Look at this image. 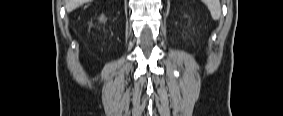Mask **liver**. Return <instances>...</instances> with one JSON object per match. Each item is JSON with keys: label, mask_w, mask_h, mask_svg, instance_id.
<instances>
[{"label": "liver", "mask_w": 283, "mask_h": 116, "mask_svg": "<svg viewBox=\"0 0 283 116\" xmlns=\"http://www.w3.org/2000/svg\"><path fill=\"white\" fill-rule=\"evenodd\" d=\"M89 1L90 0H65V7H66L67 12H71L77 7Z\"/></svg>", "instance_id": "obj_1"}]
</instances>
